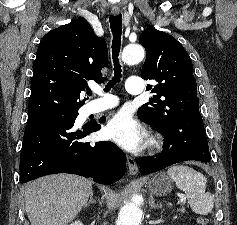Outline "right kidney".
Wrapping results in <instances>:
<instances>
[{
    "label": "right kidney",
    "instance_id": "ca27d5eb",
    "mask_svg": "<svg viewBox=\"0 0 237 225\" xmlns=\"http://www.w3.org/2000/svg\"><path fill=\"white\" fill-rule=\"evenodd\" d=\"M70 225H83V223L80 221H75V222L71 223Z\"/></svg>",
    "mask_w": 237,
    "mask_h": 225
}]
</instances>
